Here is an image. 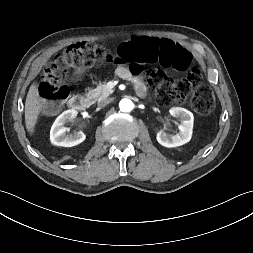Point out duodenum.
<instances>
[{
	"mask_svg": "<svg viewBox=\"0 0 253 253\" xmlns=\"http://www.w3.org/2000/svg\"><path fill=\"white\" fill-rule=\"evenodd\" d=\"M90 100L89 98L83 95H74L69 100V107L76 111H82L89 107Z\"/></svg>",
	"mask_w": 253,
	"mask_h": 253,
	"instance_id": "410a0bca",
	"label": "duodenum"
}]
</instances>
